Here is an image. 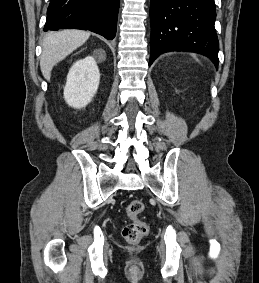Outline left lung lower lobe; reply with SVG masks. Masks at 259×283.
<instances>
[{
  "label": "left lung lower lobe",
  "mask_w": 259,
  "mask_h": 283,
  "mask_svg": "<svg viewBox=\"0 0 259 283\" xmlns=\"http://www.w3.org/2000/svg\"><path fill=\"white\" fill-rule=\"evenodd\" d=\"M151 56L184 50L201 53L218 66L214 0H151Z\"/></svg>",
  "instance_id": "obj_1"
}]
</instances>
